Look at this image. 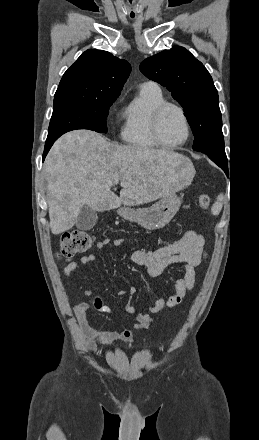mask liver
I'll return each instance as SVG.
<instances>
[{"label":"liver","mask_w":259,"mask_h":440,"mask_svg":"<svg viewBox=\"0 0 259 440\" xmlns=\"http://www.w3.org/2000/svg\"><path fill=\"white\" fill-rule=\"evenodd\" d=\"M50 228L70 230L84 206L103 212L142 205L174 194L195 175L181 154L110 142L99 133L75 130L61 136L44 164ZM125 182L120 195L111 188Z\"/></svg>","instance_id":"liver-1"}]
</instances>
